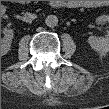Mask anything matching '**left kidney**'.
I'll list each match as a JSON object with an SVG mask.
<instances>
[{"mask_svg":"<svg viewBox=\"0 0 109 109\" xmlns=\"http://www.w3.org/2000/svg\"><path fill=\"white\" fill-rule=\"evenodd\" d=\"M98 22H107L109 21V16L108 15H102L98 17ZM88 43L90 44L91 48L94 49L97 52L100 53H106L109 50V35H105V37H95V36H90L88 38Z\"/></svg>","mask_w":109,"mask_h":109,"instance_id":"left-kidney-1","label":"left kidney"}]
</instances>
